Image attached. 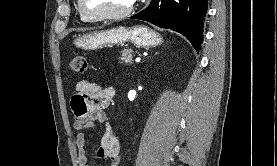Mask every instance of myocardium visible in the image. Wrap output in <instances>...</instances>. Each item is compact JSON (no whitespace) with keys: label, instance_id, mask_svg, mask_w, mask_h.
Wrapping results in <instances>:
<instances>
[{"label":"myocardium","instance_id":"f54148a6","mask_svg":"<svg viewBox=\"0 0 277 166\" xmlns=\"http://www.w3.org/2000/svg\"><path fill=\"white\" fill-rule=\"evenodd\" d=\"M138 0H133L129 7L121 12L97 14L86 10L84 0H78V9L80 13L89 20H121L128 17L135 9Z\"/></svg>","mask_w":277,"mask_h":166}]
</instances>
